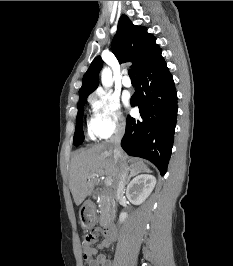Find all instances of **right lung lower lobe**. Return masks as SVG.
Masks as SVG:
<instances>
[{
  "label": "right lung lower lobe",
  "instance_id": "1",
  "mask_svg": "<svg viewBox=\"0 0 233 266\" xmlns=\"http://www.w3.org/2000/svg\"><path fill=\"white\" fill-rule=\"evenodd\" d=\"M131 105L140 119L127 117L121 146L130 156L150 160L163 176L171 156L177 117V93L172 75L160 55L137 74Z\"/></svg>",
  "mask_w": 233,
  "mask_h": 266
}]
</instances>
